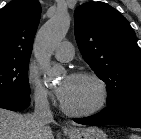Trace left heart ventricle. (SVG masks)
Here are the masks:
<instances>
[{
  "label": "left heart ventricle",
  "mask_w": 141,
  "mask_h": 139,
  "mask_svg": "<svg viewBox=\"0 0 141 139\" xmlns=\"http://www.w3.org/2000/svg\"><path fill=\"white\" fill-rule=\"evenodd\" d=\"M66 85L63 103L74 110H85L97 104L100 91L97 84L89 78H63L59 86Z\"/></svg>",
  "instance_id": "obj_1"
}]
</instances>
